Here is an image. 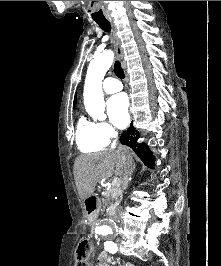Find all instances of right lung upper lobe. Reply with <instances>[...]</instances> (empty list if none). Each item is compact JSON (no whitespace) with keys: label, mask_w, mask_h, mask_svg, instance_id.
Instances as JSON below:
<instances>
[{"label":"right lung upper lobe","mask_w":221,"mask_h":266,"mask_svg":"<svg viewBox=\"0 0 221 266\" xmlns=\"http://www.w3.org/2000/svg\"><path fill=\"white\" fill-rule=\"evenodd\" d=\"M76 105V95H75V98H74V103H73V106Z\"/></svg>","instance_id":"right-lung-upper-lobe-1"}]
</instances>
